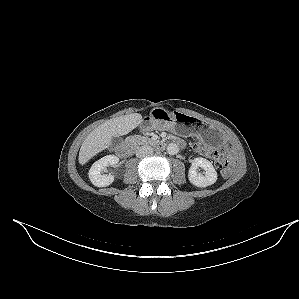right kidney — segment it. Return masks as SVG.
Returning <instances> with one entry per match:
<instances>
[{
  "instance_id": "right-kidney-1",
  "label": "right kidney",
  "mask_w": 299,
  "mask_h": 299,
  "mask_svg": "<svg viewBox=\"0 0 299 299\" xmlns=\"http://www.w3.org/2000/svg\"><path fill=\"white\" fill-rule=\"evenodd\" d=\"M119 158L115 155H107L96 161L89 170V179L97 187H106L113 183L114 176L102 174L106 166L117 167Z\"/></svg>"
}]
</instances>
